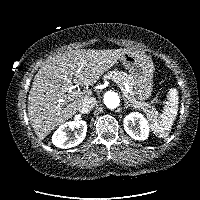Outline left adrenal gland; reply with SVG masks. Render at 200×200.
<instances>
[{"instance_id":"obj_1","label":"left adrenal gland","mask_w":200,"mask_h":200,"mask_svg":"<svg viewBox=\"0 0 200 200\" xmlns=\"http://www.w3.org/2000/svg\"><path fill=\"white\" fill-rule=\"evenodd\" d=\"M124 102H125L124 106L125 109H127L128 107H134L132 104L129 103V101L126 98H124Z\"/></svg>"}]
</instances>
